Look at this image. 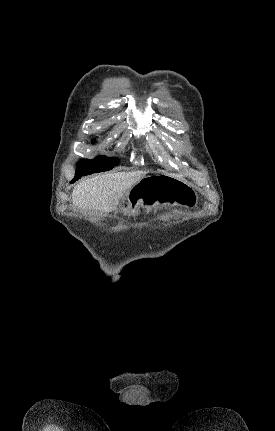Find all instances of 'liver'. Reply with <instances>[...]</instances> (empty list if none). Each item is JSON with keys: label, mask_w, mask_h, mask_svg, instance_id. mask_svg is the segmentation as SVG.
<instances>
[{"label": "liver", "mask_w": 275, "mask_h": 431, "mask_svg": "<svg viewBox=\"0 0 275 431\" xmlns=\"http://www.w3.org/2000/svg\"><path fill=\"white\" fill-rule=\"evenodd\" d=\"M146 171L117 172L94 176L77 184L73 204L83 210L108 213L115 210L130 188L145 177Z\"/></svg>", "instance_id": "1"}]
</instances>
